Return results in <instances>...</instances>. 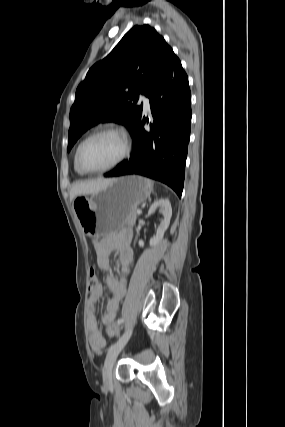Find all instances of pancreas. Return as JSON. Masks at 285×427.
<instances>
[{"instance_id":"pancreas-1","label":"pancreas","mask_w":285,"mask_h":427,"mask_svg":"<svg viewBox=\"0 0 285 427\" xmlns=\"http://www.w3.org/2000/svg\"><path fill=\"white\" fill-rule=\"evenodd\" d=\"M136 217H137L136 211L135 210L131 211L129 213V216H128V219H127L128 225L134 224V222L136 221Z\"/></svg>"}]
</instances>
